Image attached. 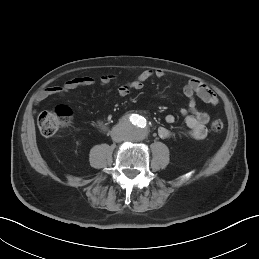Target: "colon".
I'll use <instances>...</instances> for the list:
<instances>
[{"instance_id": "5ec220e1", "label": "colon", "mask_w": 259, "mask_h": 259, "mask_svg": "<svg viewBox=\"0 0 259 259\" xmlns=\"http://www.w3.org/2000/svg\"><path fill=\"white\" fill-rule=\"evenodd\" d=\"M72 111L65 105H59L55 109L45 111L39 116L38 125L42 135L51 137L59 134L72 122ZM225 128V123L221 119H214L211 122L213 132H221Z\"/></svg>"}]
</instances>
